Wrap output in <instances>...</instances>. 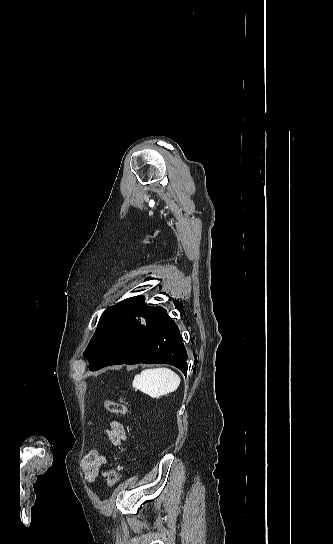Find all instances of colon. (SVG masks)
I'll list each match as a JSON object with an SVG mask.
<instances>
[{
  "instance_id": "5ec220e1",
  "label": "colon",
  "mask_w": 333,
  "mask_h": 544,
  "mask_svg": "<svg viewBox=\"0 0 333 544\" xmlns=\"http://www.w3.org/2000/svg\"><path fill=\"white\" fill-rule=\"evenodd\" d=\"M103 405L107 411L119 415H126L128 407L122 403H118L109 399L103 400ZM123 465L121 462H116L111 469L105 472L104 477L109 487L115 486L121 479Z\"/></svg>"
}]
</instances>
